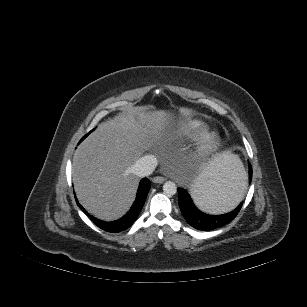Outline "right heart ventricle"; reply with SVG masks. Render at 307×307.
<instances>
[{
    "label": "right heart ventricle",
    "mask_w": 307,
    "mask_h": 307,
    "mask_svg": "<svg viewBox=\"0 0 307 307\" xmlns=\"http://www.w3.org/2000/svg\"><path fill=\"white\" fill-rule=\"evenodd\" d=\"M203 127H204V123L202 121L190 120V121L185 122L182 125V130L191 132V133H198L199 131L203 129Z\"/></svg>",
    "instance_id": "obj_1"
}]
</instances>
